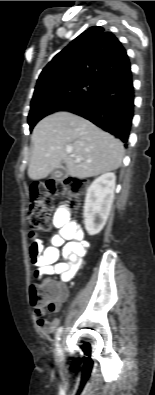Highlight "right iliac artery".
<instances>
[{"label": "right iliac artery", "instance_id": "right-iliac-artery-1", "mask_svg": "<svg viewBox=\"0 0 155 395\" xmlns=\"http://www.w3.org/2000/svg\"><path fill=\"white\" fill-rule=\"evenodd\" d=\"M62 331H63V328H62V327H59V328L57 329V332H56V334H55L56 345H58V342H59L60 339H61Z\"/></svg>", "mask_w": 155, "mask_h": 395}]
</instances>
